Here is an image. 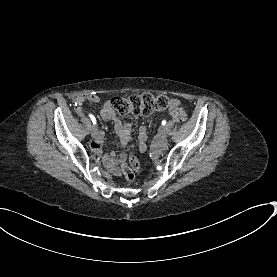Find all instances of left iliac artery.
Segmentation results:
<instances>
[{"mask_svg": "<svg viewBox=\"0 0 277 277\" xmlns=\"http://www.w3.org/2000/svg\"><path fill=\"white\" fill-rule=\"evenodd\" d=\"M165 124H166V120H163V121H162V125H165Z\"/></svg>", "mask_w": 277, "mask_h": 277, "instance_id": "44dca946", "label": "left iliac artery"}]
</instances>
